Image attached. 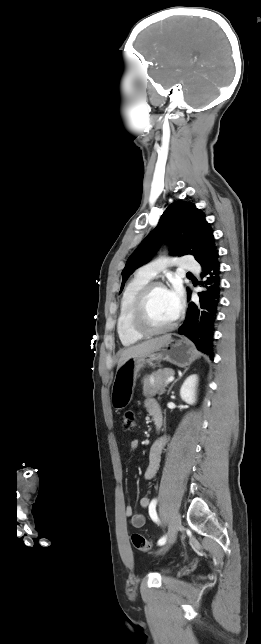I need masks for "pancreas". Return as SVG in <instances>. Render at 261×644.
Returning <instances> with one entry per match:
<instances>
[{"mask_svg":"<svg viewBox=\"0 0 261 644\" xmlns=\"http://www.w3.org/2000/svg\"><path fill=\"white\" fill-rule=\"evenodd\" d=\"M174 370L171 368L160 369L153 372L151 375L143 378V395L145 397H152L156 394H163L167 386V379L174 375Z\"/></svg>","mask_w":261,"mask_h":644,"instance_id":"1","label":"pancreas"}]
</instances>
